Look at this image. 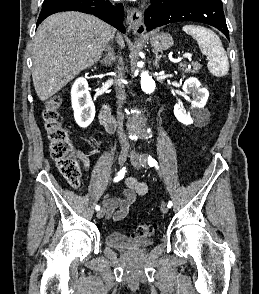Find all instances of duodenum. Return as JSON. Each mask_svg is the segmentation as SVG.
<instances>
[{
	"label": "duodenum",
	"mask_w": 259,
	"mask_h": 294,
	"mask_svg": "<svg viewBox=\"0 0 259 294\" xmlns=\"http://www.w3.org/2000/svg\"><path fill=\"white\" fill-rule=\"evenodd\" d=\"M99 120L102 125L109 131H114L117 127V123L113 115L111 114V110L107 104H103L101 106L99 112Z\"/></svg>",
	"instance_id": "duodenum-1"
}]
</instances>
